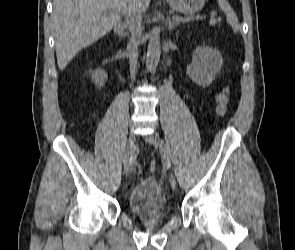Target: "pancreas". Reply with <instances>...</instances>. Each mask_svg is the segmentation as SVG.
Masks as SVG:
<instances>
[{"mask_svg":"<svg viewBox=\"0 0 295 250\" xmlns=\"http://www.w3.org/2000/svg\"><path fill=\"white\" fill-rule=\"evenodd\" d=\"M216 15L215 12L212 13V18H211V24H216L217 23V20L214 18V16Z\"/></svg>","mask_w":295,"mask_h":250,"instance_id":"cf45deb5","label":"pancreas"}]
</instances>
